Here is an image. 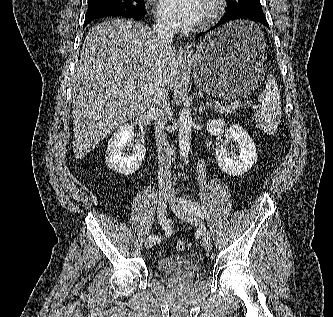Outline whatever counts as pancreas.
I'll list each match as a JSON object with an SVG mask.
<instances>
[{
	"instance_id": "obj_1",
	"label": "pancreas",
	"mask_w": 333,
	"mask_h": 317,
	"mask_svg": "<svg viewBox=\"0 0 333 317\" xmlns=\"http://www.w3.org/2000/svg\"><path fill=\"white\" fill-rule=\"evenodd\" d=\"M239 107H240V104L239 105H233V104H230V105H221V104H216L214 106L215 110L217 112H219V113H222V114H232Z\"/></svg>"
}]
</instances>
